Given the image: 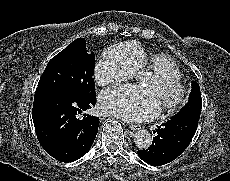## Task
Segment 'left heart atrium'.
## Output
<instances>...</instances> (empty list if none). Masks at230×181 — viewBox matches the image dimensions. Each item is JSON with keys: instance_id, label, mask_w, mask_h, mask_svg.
<instances>
[{"instance_id": "1", "label": "left heart atrium", "mask_w": 230, "mask_h": 181, "mask_svg": "<svg viewBox=\"0 0 230 181\" xmlns=\"http://www.w3.org/2000/svg\"><path fill=\"white\" fill-rule=\"evenodd\" d=\"M103 108L117 116L131 121H142L154 116L153 108L138 93L130 88L117 87L106 92L102 101Z\"/></svg>"}]
</instances>
